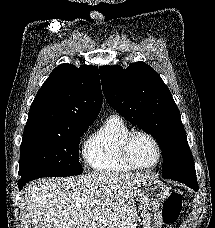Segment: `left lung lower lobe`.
Masks as SVG:
<instances>
[{
	"mask_svg": "<svg viewBox=\"0 0 215 228\" xmlns=\"http://www.w3.org/2000/svg\"><path fill=\"white\" fill-rule=\"evenodd\" d=\"M166 179H172L175 181L182 182L192 188L193 190H198V183L196 178V172L194 171H187L178 175L174 176H164Z\"/></svg>",
	"mask_w": 215,
	"mask_h": 228,
	"instance_id": "1",
	"label": "left lung lower lobe"
}]
</instances>
